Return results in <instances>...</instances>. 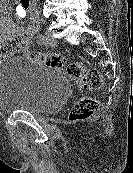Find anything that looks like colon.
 <instances>
[{
  "mask_svg": "<svg viewBox=\"0 0 133 173\" xmlns=\"http://www.w3.org/2000/svg\"><path fill=\"white\" fill-rule=\"evenodd\" d=\"M18 41L11 40L5 45V49L0 54H6L18 47ZM29 57L44 63L48 67L63 68L65 67L68 76L73 79L83 90H97L102 86L103 79L100 72L96 69L87 68L81 62H66L61 54H46L40 52H31ZM98 107L94 98L82 97L73 107L70 114L71 120H84L93 115Z\"/></svg>",
  "mask_w": 133,
  "mask_h": 173,
  "instance_id": "obj_1",
  "label": "colon"
}]
</instances>
